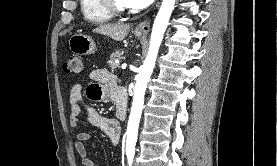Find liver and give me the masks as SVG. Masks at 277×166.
I'll list each match as a JSON object with an SVG mask.
<instances>
[{
	"label": "liver",
	"instance_id": "6515ba94",
	"mask_svg": "<svg viewBox=\"0 0 277 166\" xmlns=\"http://www.w3.org/2000/svg\"><path fill=\"white\" fill-rule=\"evenodd\" d=\"M129 30L130 25L128 24L108 23L96 27L95 29H93V32L108 36L115 41H122L128 35Z\"/></svg>",
	"mask_w": 277,
	"mask_h": 166
}]
</instances>
